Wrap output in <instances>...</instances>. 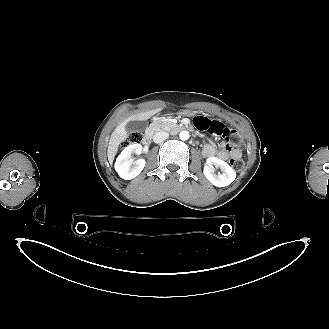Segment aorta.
Listing matches in <instances>:
<instances>
[{
    "mask_svg": "<svg viewBox=\"0 0 329 329\" xmlns=\"http://www.w3.org/2000/svg\"><path fill=\"white\" fill-rule=\"evenodd\" d=\"M179 137L181 140L185 141L189 139V132L186 130H183L180 132Z\"/></svg>",
    "mask_w": 329,
    "mask_h": 329,
    "instance_id": "762f6f07",
    "label": "aorta"
}]
</instances>
